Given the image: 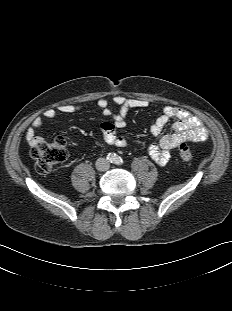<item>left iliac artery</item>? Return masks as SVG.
I'll return each mask as SVG.
<instances>
[{
	"mask_svg": "<svg viewBox=\"0 0 232 311\" xmlns=\"http://www.w3.org/2000/svg\"><path fill=\"white\" fill-rule=\"evenodd\" d=\"M114 163L117 165H121V164H123V159L120 156H116Z\"/></svg>",
	"mask_w": 232,
	"mask_h": 311,
	"instance_id": "1",
	"label": "left iliac artery"
}]
</instances>
